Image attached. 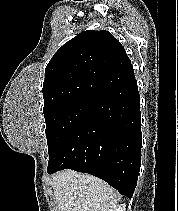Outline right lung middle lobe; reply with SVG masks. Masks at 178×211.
Returning a JSON list of instances; mask_svg holds the SVG:
<instances>
[{
  "mask_svg": "<svg viewBox=\"0 0 178 211\" xmlns=\"http://www.w3.org/2000/svg\"><path fill=\"white\" fill-rule=\"evenodd\" d=\"M96 101L91 98H77L43 109L49 156L86 116Z\"/></svg>",
  "mask_w": 178,
  "mask_h": 211,
  "instance_id": "obj_1",
  "label": "right lung middle lobe"
}]
</instances>
